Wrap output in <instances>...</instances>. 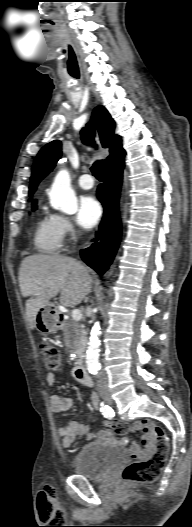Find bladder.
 <instances>
[{
  "mask_svg": "<svg viewBox=\"0 0 192 527\" xmlns=\"http://www.w3.org/2000/svg\"><path fill=\"white\" fill-rule=\"evenodd\" d=\"M126 460L125 451L101 442L83 447L72 461L76 474L89 480H100Z\"/></svg>",
  "mask_w": 192,
  "mask_h": 527,
  "instance_id": "31cf9c89",
  "label": "bladder"
}]
</instances>
